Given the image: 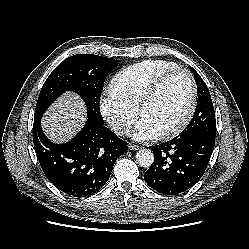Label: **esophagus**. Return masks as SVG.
<instances>
[{"instance_id": "1", "label": "esophagus", "mask_w": 249, "mask_h": 249, "mask_svg": "<svg viewBox=\"0 0 249 249\" xmlns=\"http://www.w3.org/2000/svg\"><path fill=\"white\" fill-rule=\"evenodd\" d=\"M128 148H129V150H138L139 146L135 145V144H132V143H129Z\"/></svg>"}]
</instances>
